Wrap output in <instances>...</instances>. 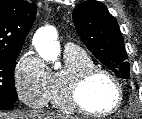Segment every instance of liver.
Returning a JSON list of instances; mask_svg holds the SVG:
<instances>
[{
    "mask_svg": "<svg viewBox=\"0 0 142 119\" xmlns=\"http://www.w3.org/2000/svg\"><path fill=\"white\" fill-rule=\"evenodd\" d=\"M67 116L47 112H25L18 114H0V119H67Z\"/></svg>",
    "mask_w": 142,
    "mask_h": 119,
    "instance_id": "liver-1",
    "label": "liver"
}]
</instances>
